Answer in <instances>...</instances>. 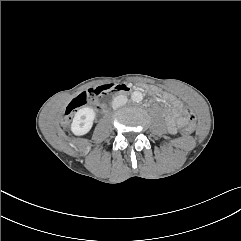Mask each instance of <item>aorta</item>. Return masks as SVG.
<instances>
[{"mask_svg": "<svg viewBox=\"0 0 241 241\" xmlns=\"http://www.w3.org/2000/svg\"><path fill=\"white\" fill-rule=\"evenodd\" d=\"M131 99L135 102H140L143 100V94L140 91H134L131 94Z\"/></svg>", "mask_w": 241, "mask_h": 241, "instance_id": "aorta-1", "label": "aorta"}]
</instances>
